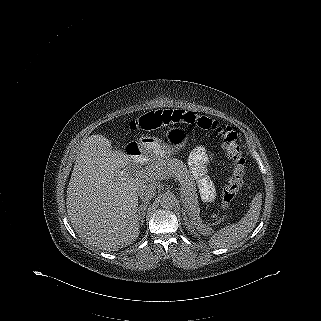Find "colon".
Wrapping results in <instances>:
<instances>
[{
	"label": "colon",
	"instance_id": "obj_1",
	"mask_svg": "<svg viewBox=\"0 0 321 321\" xmlns=\"http://www.w3.org/2000/svg\"><path fill=\"white\" fill-rule=\"evenodd\" d=\"M185 123L203 129L216 130L223 137V144L234 162V171L222 192V204L228 206L235 198L243 183L245 159L237 145V133L228 125H220L209 117L184 110H159L145 114L130 123L133 130H157L164 126Z\"/></svg>",
	"mask_w": 321,
	"mask_h": 321
}]
</instances>
